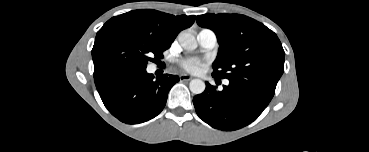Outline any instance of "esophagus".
Masks as SVG:
<instances>
[{
    "mask_svg": "<svg viewBox=\"0 0 369 152\" xmlns=\"http://www.w3.org/2000/svg\"><path fill=\"white\" fill-rule=\"evenodd\" d=\"M179 79H180V81H190L191 79H192V77H190L189 75H187V74H181L180 76H179Z\"/></svg>",
    "mask_w": 369,
    "mask_h": 152,
    "instance_id": "esophagus-1",
    "label": "esophagus"
}]
</instances>
